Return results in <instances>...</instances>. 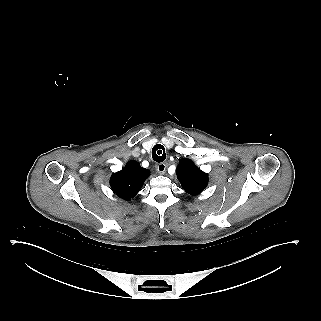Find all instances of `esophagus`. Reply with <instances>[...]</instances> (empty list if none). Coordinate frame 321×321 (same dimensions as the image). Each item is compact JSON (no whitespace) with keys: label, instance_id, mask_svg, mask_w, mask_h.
Instances as JSON below:
<instances>
[{"label":"esophagus","instance_id":"obj_1","mask_svg":"<svg viewBox=\"0 0 321 321\" xmlns=\"http://www.w3.org/2000/svg\"><path fill=\"white\" fill-rule=\"evenodd\" d=\"M167 168V163H160L158 166H157V171L159 174L163 175L165 173V170Z\"/></svg>","mask_w":321,"mask_h":321}]
</instances>
